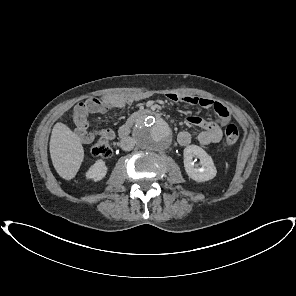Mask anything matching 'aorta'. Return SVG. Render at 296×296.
Returning a JSON list of instances; mask_svg holds the SVG:
<instances>
[{
	"label": "aorta",
	"instance_id": "762f6f07",
	"mask_svg": "<svg viewBox=\"0 0 296 296\" xmlns=\"http://www.w3.org/2000/svg\"><path fill=\"white\" fill-rule=\"evenodd\" d=\"M138 146L146 151L164 152L172 142V131L167 122L146 115L141 117L134 132Z\"/></svg>",
	"mask_w": 296,
	"mask_h": 296
}]
</instances>
